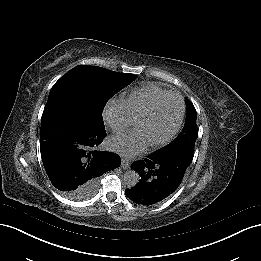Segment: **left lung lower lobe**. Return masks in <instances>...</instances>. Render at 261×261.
<instances>
[{
	"instance_id": "0a47b994",
	"label": "left lung lower lobe",
	"mask_w": 261,
	"mask_h": 261,
	"mask_svg": "<svg viewBox=\"0 0 261 261\" xmlns=\"http://www.w3.org/2000/svg\"><path fill=\"white\" fill-rule=\"evenodd\" d=\"M193 156L187 152L157 151L143 161L133 163L132 168L141 177L140 182L126 195L135 203L152 205L170 196L181 184Z\"/></svg>"
}]
</instances>
